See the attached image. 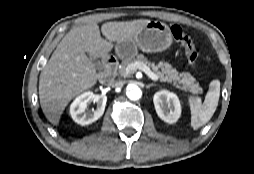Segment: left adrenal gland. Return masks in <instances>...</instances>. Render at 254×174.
I'll list each match as a JSON object with an SVG mask.
<instances>
[{"label":"left adrenal gland","instance_id":"left-adrenal-gland-1","mask_svg":"<svg viewBox=\"0 0 254 174\" xmlns=\"http://www.w3.org/2000/svg\"><path fill=\"white\" fill-rule=\"evenodd\" d=\"M152 86H155V84H153V83H152V84H149V85L146 86V88L149 89V88L152 87Z\"/></svg>","mask_w":254,"mask_h":174}]
</instances>
